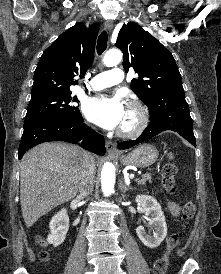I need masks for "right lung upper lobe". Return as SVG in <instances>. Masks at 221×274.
<instances>
[{
	"instance_id": "right-lung-upper-lobe-1",
	"label": "right lung upper lobe",
	"mask_w": 221,
	"mask_h": 274,
	"mask_svg": "<svg viewBox=\"0 0 221 274\" xmlns=\"http://www.w3.org/2000/svg\"><path fill=\"white\" fill-rule=\"evenodd\" d=\"M99 25L77 23L61 34L42 54L34 73L31 99L71 93L92 64Z\"/></svg>"
}]
</instances>
